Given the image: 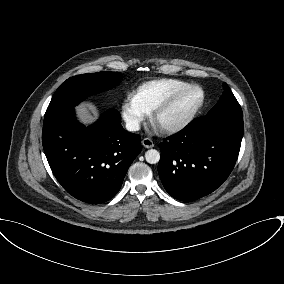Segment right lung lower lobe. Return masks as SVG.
Segmentation results:
<instances>
[{"label":"right lung lower lobe","mask_w":284,"mask_h":284,"mask_svg":"<svg viewBox=\"0 0 284 284\" xmlns=\"http://www.w3.org/2000/svg\"><path fill=\"white\" fill-rule=\"evenodd\" d=\"M42 143L50 168L62 187L86 203L114 197L127 170L141 152L140 136L124 130L120 113L105 112L85 127L74 108L44 122Z\"/></svg>","instance_id":"right-lung-lower-lobe-1"}]
</instances>
